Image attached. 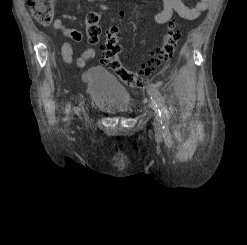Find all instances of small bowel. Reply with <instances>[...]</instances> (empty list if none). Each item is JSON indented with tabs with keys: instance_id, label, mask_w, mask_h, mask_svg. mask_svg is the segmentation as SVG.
Listing matches in <instances>:
<instances>
[{
	"instance_id": "small-bowel-1",
	"label": "small bowel",
	"mask_w": 247,
	"mask_h": 245,
	"mask_svg": "<svg viewBox=\"0 0 247 245\" xmlns=\"http://www.w3.org/2000/svg\"><path fill=\"white\" fill-rule=\"evenodd\" d=\"M88 1L94 2L96 0ZM209 1L210 0H199L195 5L189 7L185 5L182 0H163V7L159 12L153 15V20L157 24H166L172 19L174 14L179 15L185 20H194L208 8ZM63 19L74 21L76 17L74 15L65 14L63 15ZM63 19L57 18L53 23V28L75 42L82 41L83 33L80 30L68 27ZM108 32H113L120 38V32L117 26L111 27ZM95 54L93 48L83 50L75 61L76 66L84 68L87 62L95 57ZM61 55L65 63H71L73 61V48L68 41L62 43Z\"/></svg>"
}]
</instances>
